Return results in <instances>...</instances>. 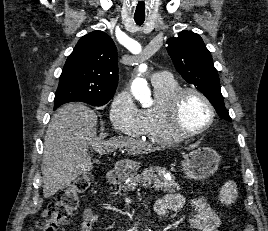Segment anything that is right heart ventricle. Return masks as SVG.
<instances>
[{
	"mask_svg": "<svg viewBox=\"0 0 268 231\" xmlns=\"http://www.w3.org/2000/svg\"><path fill=\"white\" fill-rule=\"evenodd\" d=\"M155 103L141 110L143 138L152 143L170 145L180 139L175 137L168 126L167 112L170 98L180 89L173 78L161 79L152 83Z\"/></svg>",
	"mask_w": 268,
	"mask_h": 231,
	"instance_id": "obj_1",
	"label": "right heart ventricle"
}]
</instances>
